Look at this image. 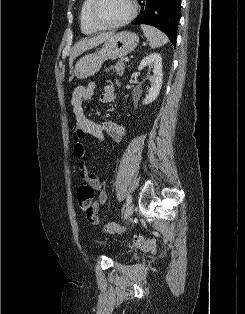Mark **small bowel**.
<instances>
[{"label": "small bowel", "mask_w": 245, "mask_h": 314, "mask_svg": "<svg viewBox=\"0 0 245 314\" xmlns=\"http://www.w3.org/2000/svg\"><path fill=\"white\" fill-rule=\"evenodd\" d=\"M96 84L89 82L86 85L77 86L71 99L73 114L75 116V126L73 133L74 154L77 157L84 156V139L87 136L94 137L103 141L109 136L116 143H120L125 135L123 126L115 122L98 123L88 119L84 114V105L94 94ZM102 103H111L116 99V89L113 84H107L99 97ZM80 177L92 186L98 194L97 201L93 204V212L86 214L87 220L91 224H98L100 219L97 215L100 206L105 205L107 201L106 187L107 183L102 181L99 176L89 171L86 163L82 160L78 166Z\"/></svg>", "instance_id": "1"}]
</instances>
